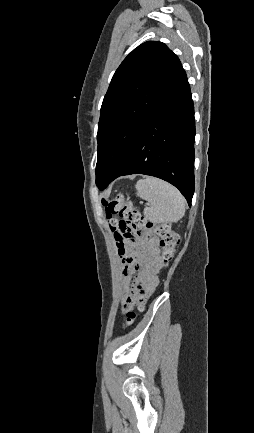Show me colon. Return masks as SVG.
<instances>
[{
  "mask_svg": "<svg viewBox=\"0 0 254 433\" xmlns=\"http://www.w3.org/2000/svg\"><path fill=\"white\" fill-rule=\"evenodd\" d=\"M105 215L108 224L114 234L116 247L119 255H124L125 245L132 242L135 236L143 234H155L158 239L160 255L165 263H169L177 252L179 236L172 231L170 224L154 226L147 222L141 211L123 195H117L112 199H104ZM115 217L120 220L116 221ZM144 300L127 298L125 301V316L127 323L134 321L136 314L132 307L135 304L141 305Z\"/></svg>",
  "mask_w": 254,
  "mask_h": 433,
  "instance_id": "colon-1",
  "label": "colon"
}]
</instances>
